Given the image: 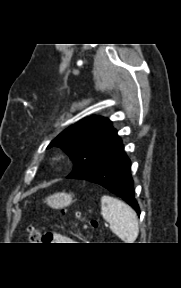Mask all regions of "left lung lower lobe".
I'll use <instances>...</instances> for the list:
<instances>
[{"label": "left lung lower lobe", "mask_w": 181, "mask_h": 288, "mask_svg": "<svg viewBox=\"0 0 181 288\" xmlns=\"http://www.w3.org/2000/svg\"><path fill=\"white\" fill-rule=\"evenodd\" d=\"M81 179L97 183L110 190L140 215V208L134 197L131 162L124 152L122 141L105 160Z\"/></svg>", "instance_id": "1"}]
</instances>
